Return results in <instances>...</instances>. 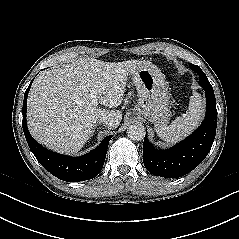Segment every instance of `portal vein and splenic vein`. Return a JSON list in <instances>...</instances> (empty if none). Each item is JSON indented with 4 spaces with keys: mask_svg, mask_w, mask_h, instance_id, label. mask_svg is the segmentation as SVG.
<instances>
[{
    "mask_svg": "<svg viewBox=\"0 0 239 239\" xmlns=\"http://www.w3.org/2000/svg\"><path fill=\"white\" fill-rule=\"evenodd\" d=\"M90 99H91V104L92 105H97V96L96 93L94 91H91V95H90Z\"/></svg>",
    "mask_w": 239,
    "mask_h": 239,
    "instance_id": "18ae733b",
    "label": "portal vein and splenic vein"
}]
</instances>
